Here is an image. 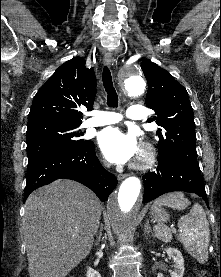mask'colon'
Here are the masks:
<instances>
[{"label":"colon","mask_w":221,"mask_h":277,"mask_svg":"<svg viewBox=\"0 0 221 277\" xmlns=\"http://www.w3.org/2000/svg\"><path fill=\"white\" fill-rule=\"evenodd\" d=\"M199 276H200V277H205V273H204V272H200V273H199Z\"/></svg>","instance_id":"obj_1"}]
</instances>
